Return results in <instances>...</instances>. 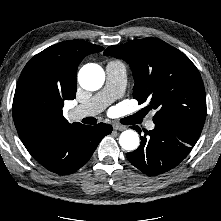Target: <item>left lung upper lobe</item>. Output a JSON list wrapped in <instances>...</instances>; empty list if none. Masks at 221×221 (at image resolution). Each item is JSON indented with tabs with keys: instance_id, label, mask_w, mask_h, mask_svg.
<instances>
[{
	"instance_id": "5c2ea615",
	"label": "left lung upper lobe",
	"mask_w": 221,
	"mask_h": 221,
	"mask_svg": "<svg viewBox=\"0 0 221 221\" xmlns=\"http://www.w3.org/2000/svg\"><path fill=\"white\" fill-rule=\"evenodd\" d=\"M105 56L129 63L135 86L133 97L154 109L155 124L185 126L202 131L206 118V96L196 66L181 51L148 37L109 46Z\"/></svg>"
}]
</instances>
